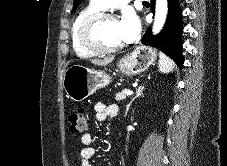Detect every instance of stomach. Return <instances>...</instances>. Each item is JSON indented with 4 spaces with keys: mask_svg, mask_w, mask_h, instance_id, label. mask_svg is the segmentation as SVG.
I'll use <instances>...</instances> for the list:
<instances>
[{
    "mask_svg": "<svg viewBox=\"0 0 227 166\" xmlns=\"http://www.w3.org/2000/svg\"><path fill=\"white\" fill-rule=\"evenodd\" d=\"M155 59L156 53L152 48L138 46L132 53L122 57L117 67L124 75L132 76L146 71ZM110 82L111 78L106 73L77 64L69 66L63 76L67 97L75 102L83 101Z\"/></svg>",
    "mask_w": 227,
    "mask_h": 166,
    "instance_id": "1",
    "label": "stomach"
}]
</instances>
